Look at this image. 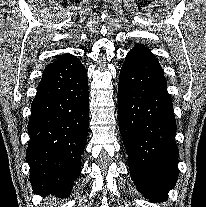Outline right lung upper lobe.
<instances>
[{
    "instance_id": "obj_1",
    "label": "right lung upper lobe",
    "mask_w": 206,
    "mask_h": 207,
    "mask_svg": "<svg viewBox=\"0 0 206 207\" xmlns=\"http://www.w3.org/2000/svg\"><path fill=\"white\" fill-rule=\"evenodd\" d=\"M69 56H71L70 54H63V55H61V56H59L55 61H53L52 63H54V62H57V61H59V60H62V59H64V58H66V57H69ZM51 63V64H52Z\"/></svg>"
}]
</instances>
